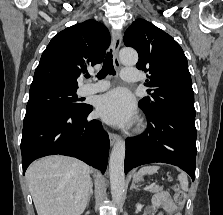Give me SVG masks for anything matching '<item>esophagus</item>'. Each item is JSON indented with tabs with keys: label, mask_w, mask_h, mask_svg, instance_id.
<instances>
[{
	"label": "esophagus",
	"mask_w": 223,
	"mask_h": 215,
	"mask_svg": "<svg viewBox=\"0 0 223 215\" xmlns=\"http://www.w3.org/2000/svg\"><path fill=\"white\" fill-rule=\"evenodd\" d=\"M112 49H113V63L116 68H120L121 64L118 58V51L122 42V35L118 29H113L112 30ZM119 139V136L115 133H110L109 134V140L110 144L114 145V143Z\"/></svg>",
	"instance_id": "esophagus-1"
}]
</instances>
